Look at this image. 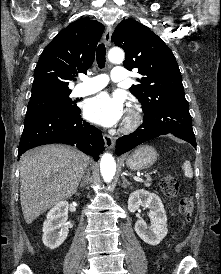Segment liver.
I'll list each match as a JSON object with an SVG mask.
<instances>
[{
  "mask_svg": "<svg viewBox=\"0 0 221 274\" xmlns=\"http://www.w3.org/2000/svg\"><path fill=\"white\" fill-rule=\"evenodd\" d=\"M89 157L70 146L51 144L30 150L20 160V201L31 224L40 214L73 196Z\"/></svg>",
  "mask_w": 221,
  "mask_h": 274,
  "instance_id": "1",
  "label": "liver"
}]
</instances>
